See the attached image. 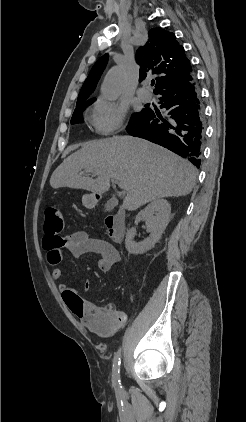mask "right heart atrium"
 <instances>
[{"label":"right heart atrium","instance_id":"d8ad5b80","mask_svg":"<svg viewBox=\"0 0 246 422\" xmlns=\"http://www.w3.org/2000/svg\"><path fill=\"white\" fill-rule=\"evenodd\" d=\"M126 109L120 104L98 98L91 107L90 123L100 135H111L119 131L124 123Z\"/></svg>","mask_w":246,"mask_h":422}]
</instances>
